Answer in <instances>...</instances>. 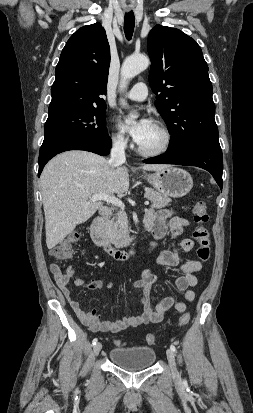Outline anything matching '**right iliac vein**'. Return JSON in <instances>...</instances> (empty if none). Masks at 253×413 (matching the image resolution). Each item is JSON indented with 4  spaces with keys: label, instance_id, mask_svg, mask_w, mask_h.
<instances>
[{
    "label": "right iliac vein",
    "instance_id": "obj_1",
    "mask_svg": "<svg viewBox=\"0 0 253 413\" xmlns=\"http://www.w3.org/2000/svg\"><path fill=\"white\" fill-rule=\"evenodd\" d=\"M101 348H102L101 343H97V344L94 345L93 353H94L95 356H97L99 354Z\"/></svg>",
    "mask_w": 253,
    "mask_h": 413
}]
</instances>
